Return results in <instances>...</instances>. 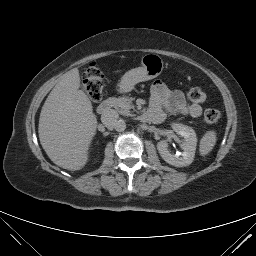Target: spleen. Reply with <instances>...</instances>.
Returning a JSON list of instances; mask_svg holds the SVG:
<instances>
[{
	"label": "spleen",
	"instance_id": "obj_1",
	"mask_svg": "<svg viewBox=\"0 0 256 256\" xmlns=\"http://www.w3.org/2000/svg\"><path fill=\"white\" fill-rule=\"evenodd\" d=\"M217 141V134L215 131H207L200 140L199 151L202 156L208 155Z\"/></svg>",
	"mask_w": 256,
	"mask_h": 256
}]
</instances>
